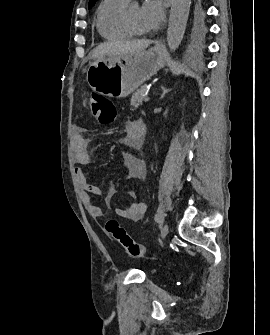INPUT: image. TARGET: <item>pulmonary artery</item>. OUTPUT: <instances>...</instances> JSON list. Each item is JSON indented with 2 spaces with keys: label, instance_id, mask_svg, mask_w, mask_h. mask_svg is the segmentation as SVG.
I'll list each match as a JSON object with an SVG mask.
<instances>
[{
  "label": "pulmonary artery",
  "instance_id": "pulmonary-artery-1",
  "mask_svg": "<svg viewBox=\"0 0 270 335\" xmlns=\"http://www.w3.org/2000/svg\"><path fill=\"white\" fill-rule=\"evenodd\" d=\"M123 1L128 2V1H130V0H123Z\"/></svg>",
  "mask_w": 270,
  "mask_h": 335
}]
</instances>
